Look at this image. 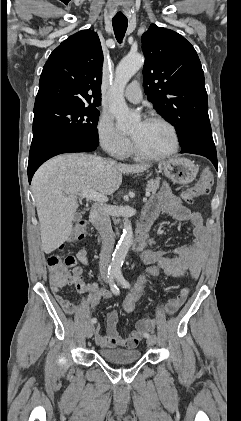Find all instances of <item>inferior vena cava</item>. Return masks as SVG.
<instances>
[{"label": "inferior vena cava", "instance_id": "inferior-vena-cava-1", "mask_svg": "<svg viewBox=\"0 0 241 421\" xmlns=\"http://www.w3.org/2000/svg\"><path fill=\"white\" fill-rule=\"evenodd\" d=\"M109 162L115 163L113 160H109ZM90 219L101 236L102 249L100 253L99 270L101 276L105 277L108 272L115 243L107 206L101 202L94 203L90 211Z\"/></svg>", "mask_w": 241, "mask_h": 421}]
</instances>
